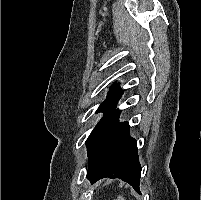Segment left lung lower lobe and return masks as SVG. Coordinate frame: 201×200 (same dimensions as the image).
<instances>
[{
    "label": "left lung lower lobe",
    "mask_w": 201,
    "mask_h": 200,
    "mask_svg": "<svg viewBox=\"0 0 201 200\" xmlns=\"http://www.w3.org/2000/svg\"><path fill=\"white\" fill-rule=\"evenodd\" d=\"M120 111L113 110L90 141L88 174L91 183L109 177L120 178L139 191L141 166L136 140L130 137L128 122H119Z\"/></svg>",
    "instance_id": "0a47b994"
}]
</instances>
